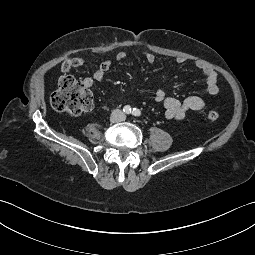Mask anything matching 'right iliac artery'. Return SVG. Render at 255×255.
<instances>
[{
	"label": "right iliac artery",
	"instance_id": "obj_1",
	"mask_svg": "<svg viewBox=\"0 0 255 255\" xmlns=\"http://www.w3.org/2000/svg\"><path fill=\"white\" fill-rule=\"evenodd\" d=\"M123 111L126 113V114H129L131 113V107L129 105H126L124 108H123Z\"/></svg>",
	"mask_w": 255,
	"mask_h": 255
}]
</instances>
